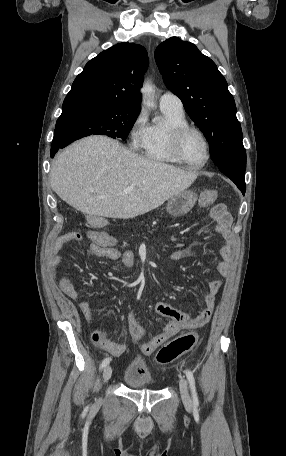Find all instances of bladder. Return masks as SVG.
I'll use <instances>...</instances> for the list:
<instances>
[{
    "instance_id": "1",
    "label": "bladder",
    "mask_w": 286,
    "mask_h": 456,
    "mask_svg": "<svg viewBox=\"0 0 286 456\" xmlns=\"http://www.w3.org/2000/svg\"><path fill=\"white\" fill-rule=\"evenodd\" d=\"M124 384L130 389H150L152 377L147 366L142 362L133 361L124 373Z\"/></svg>"
}]
</instances>
